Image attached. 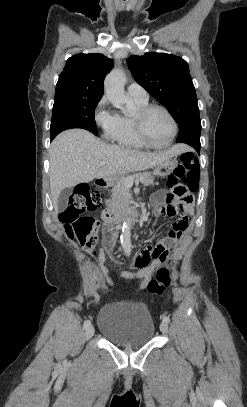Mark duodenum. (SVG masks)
<instances>
[{
	"label": "duodenum",
	"mask_w": 247,
	"mask_h": 407,
	"mask_svg": "<svg viewBox=\"0 0 247 407\" xmlns=\"http://www.w3.org/2000/svg\"><path fill=\"white\" fill-rule=\"evenodd\" d=\"M96 186L103 187L106 185V182L103 178H97L94 181ZM140 217V211L137 207H120V206H111L104 208L102 211V218L108 224L109 222L119 224L122 221L126 220H135ZM113 238V237H112Z\"/></svg>",
	"instance_id": "410a0bca"
}]
</instances>
